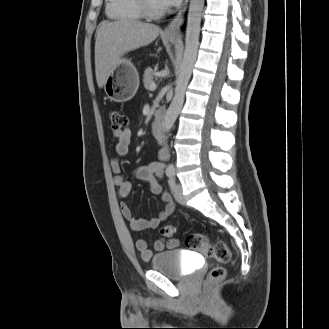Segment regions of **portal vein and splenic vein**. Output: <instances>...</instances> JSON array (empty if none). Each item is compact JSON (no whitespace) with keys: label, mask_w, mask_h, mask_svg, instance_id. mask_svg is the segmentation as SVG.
<instances>
[{"label":"portal vein and splenic vein","mask_w":329,"mask_h":329,"mask_svg":"<svg viewBox=\"0 0 329 329\" xmlns=\"http://www.w3.org/2000/svg\"><path fill=\"white\" fill-rule=\"evenodd\" d=\"M155 89H156V84H155V82H152V83L150 84L149 90L153 91V90H155Z\"/></svg>","instance_id":"18ae733b"}]
</instances>
